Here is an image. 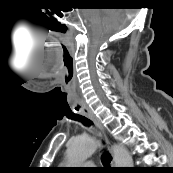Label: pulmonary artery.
Returning a JSON list of instances; mask_svg holds the SVG:
<instances>
[{"label":"pulmonary artery","instance_id":"obj_1","mask_svg":"<svg viewBox=\"0 0 173 173\" xmlns=\"http://www.w3.org/2000/svg\"><path fill=\"white\" fill-rule=\"evenodd\" d=\"M85 164H86V167H88V169H90L93 166V163H91V162H87Z\"/></svg>","mask_w":173,"mask_h":173}]
</instances>
